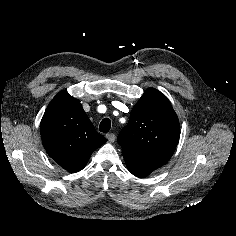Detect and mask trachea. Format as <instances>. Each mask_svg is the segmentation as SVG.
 I'll use <instances>...</instances> for the list:
<instances>
[{
	"label": "trachea",
	"mask_w": 236,
	"mask_h": 236,
	"mask_svg": "<svg viewBox=\"0 0 236 236\" xmlns=\"http://www.w3.org/2000/svg\"><path fill=\"white\" fill-rule=\"evenodd\" d=\"M110 128H111L110 119L104 118L100 123L99 130L103 133H107V132H109Z\"/></svg>",
	"instance_id": "3493384b"
}]
</instances>
